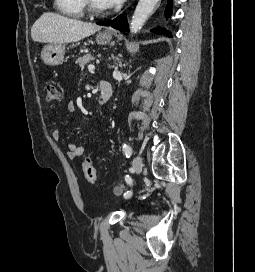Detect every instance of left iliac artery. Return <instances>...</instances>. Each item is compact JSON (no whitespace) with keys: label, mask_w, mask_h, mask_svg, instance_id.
Returning <instances> with one entry per match:
<instances>
[{"label":"left iliac artery","mask_w":255,"mask_h":272,"mask_svg":"<svg viewBox=\"0 0 255 272\" xmlns=\"http://www.w3.org/2000/svg\"><path fill=\"white\" fill-rule=\"evenodd\" d=\"M122 148H123V152H124L125 156L127 158H129L132 155V148L125 143L122 145ZM125 181H126L127 185H132V178L129 177V175H126ZM131 195H132V191H128V192L124 193L125 198H129Z\"/></svg>","instance_id":"1"}]
</instances>
